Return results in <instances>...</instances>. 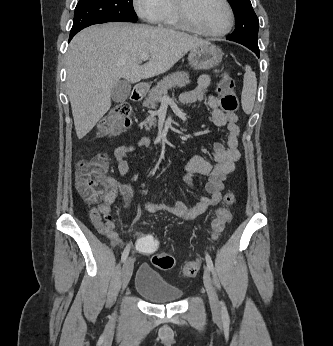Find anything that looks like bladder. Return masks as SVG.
Masks as SVG:
<instances>
[{"label": "bladder", "mask_w": 333, "mask_h": 346, "mask_svg": "<svg viewBox=\"0 0 333 346\" xmlns=\"http://www.w3.org/2000/svg\"><path fill=\"white\" fill-rule=\"evenodd\" d=\"M134 288L154 304L174 303L183 295L182 289L168 282L147 264L138 268Z\"/></svg>", "instance_id": "obj_1"}]
</instances>
